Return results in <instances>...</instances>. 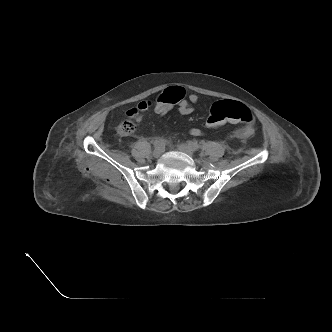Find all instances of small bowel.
Instances as JSON below:
<instances>
[{
    "label": "small bowel",
    "mask_w": 332,
    "mask_h": 332,
    "mask_svg": "<svg viewBox=\"0 0 332 332\" xmlns=\"http://www.w3.org/2000/svg\"><path fill=\"white\" fill-rule=\"evenodd\" d=\"M184 91V90H183ZM198 95L196 93H191L187 98H183L178 101V111L181 115H190L194 111V104L198 102ZM172 108L171 103L158 102L155 111L159 114H165ZM190 133L194 136H201L204 132L199 128H191ZM254 133V128L252 126H246L240 131V135L243 138H247Z\"/></svg>",
    "instance_id": "obj_1"
}]
</instances>
